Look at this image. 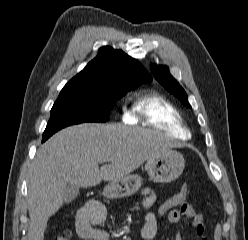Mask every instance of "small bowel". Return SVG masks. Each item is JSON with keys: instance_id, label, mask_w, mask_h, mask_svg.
I'll return each mask as SVG.
<instances>
[{"instance_id": "1", "label": "small bowel", "mask_w": 248, "mask_h": 240, "mask_svg": "<svg viewBox=\"0 0 248 240\" xmlns=\"http://www.w3.org/2000/svg\"><path fill=\"white\" fill-rule=\"evenodd\" d=\"M141 194L143 196L142 205L145 213L144 224L140 229V237L142 240H154L159 232V225L155 213L150 211V208L156 201V195L149 187L143 188ZM106 213L103 203L96 200L87 202L76 215L75 230L77 236L81 240H110V234L107 231L97 228L105 219ZM183 218H190L192 220L200 240H209L205 234L203 215L189 203H184L179 208L168 212L165 215V222L176 224ZM174 240H183L182 235L177 232Z\"/></svg>"}]
</instances>
